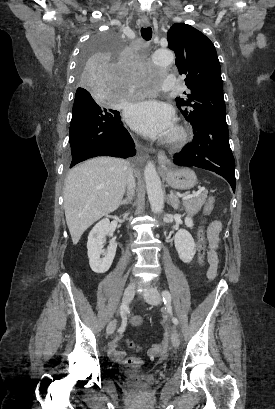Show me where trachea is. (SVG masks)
Masks as SVG:
<instances>
[{"instance_id":"1","label":"trachea","mask_w":275,"mask_h":409,"mask_svg":"<svg viewBox=\"0 0 275 409\" xmlns=\"http://www.w3.org/2000/svg\"><path fill=\"white\" fill-rule=\"evenodd\" d=\"M141 36L145 39V40H151L152 37V29L151 27H147V28H141Z\"/></svg>"}]
</instances>
